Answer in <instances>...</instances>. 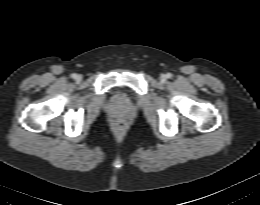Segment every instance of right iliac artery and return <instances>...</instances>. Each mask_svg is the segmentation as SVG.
<instances>
[{
  "label": "right iliac artery",
  "mask_w": 260,
  "mask_h": 205,
  "mask_svg": "<svg viewBox=\"0 0 260 205\" xmlns=\"http://www.w3.org/2000/svg\"><path fill=\"white\" fill-rule=\"evenodd\" d=\"M71 77H72L73 79H76L77 74L74 73V74L71 75Z\"/></svg>",
  "instance_id": "82829eb1"
}]
</instances>
